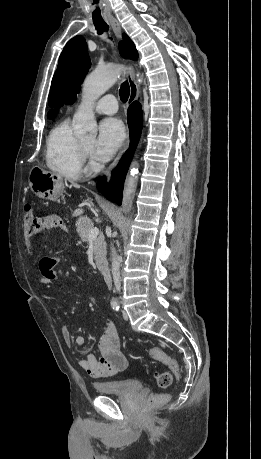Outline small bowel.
<instances>
[{
	"label": "small bowel",
	"instance_id": "obj_1",
	"mask_svg": "<svg viewBox=\"0 0 261 459\" xmlns=\"http://www.w3.org/2000/svg\"><path fill=\"white\" fill-rule=\"evenodd\" d=\"M43 226L39 231H35L36 235L43 229L59 228L66 230V225L63 219L57 215L50 216L43 220ZM56 258H43L39 262V270L41 273L40 283L46 287H51L59 276L54 271ZM61 333L65 343L68 346L72 345V334L67 326H62ZM75 343L83 347L86 344L84 336H78ZM100 358H96L93 354L87 353L78 361L79 366L94 378H105L113 376L128 366V361L121 351V341L118 330L115 324L111 321H106L103 325V334L99 341Z\"/></svg>",
	"mask_w": 261,
	"mask_h": 459
}]
</instances>
